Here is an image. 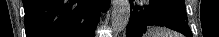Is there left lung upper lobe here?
Masks as SVG:
<instances>
[{"label": "left lung upper lobe", "mask_w": 219, "mask_h": 37, "mask_svg": "<svg viewBox=\"0 0 219 37\" xmlns=\"http://www.w3.org/2000/svg\"><path fill=\"white\" fill-rule=\"evenodd\" d=\"M156 1L172 6L187 19L184 0H156Z\"/></svg>", "instance_id": "1"}]
</instances>
